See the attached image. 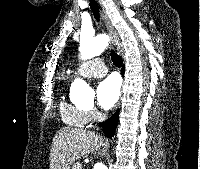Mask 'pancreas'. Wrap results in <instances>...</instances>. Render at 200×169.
<instances>
[{
    "mask_svg": "<svg viewBox=\"0 0 200 169\" xmlns=\"http://www.w3.org/2000/svg\"><path fill=\"white\" fill-rule=\"evenodd\" d=\"M72 169H83L82 168V165L80 164V163H75L74 165H73V167H72Z\"/></svg>",
    "mask_w": 200,
    "mask_h": 169,
    "instance_id": "obj_1",
    "label": "pancreas"
}]
</instances>
